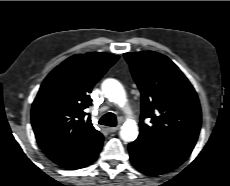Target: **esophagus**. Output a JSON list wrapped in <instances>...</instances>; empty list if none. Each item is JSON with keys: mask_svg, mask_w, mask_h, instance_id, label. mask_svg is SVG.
<instances>
[{"mask_svg": "<svg viewBox=\"0 0 230 186\" xmlns=\"http://www.w3.org/2000/svg\"><path fill=\"white\" fill-rule=\"evenodd\" d=\"M119 128H120V126H117V127H109V128H108V131H109L110 133H114V132L118 131Z\"/></svg>", "mask_w": 230, "mask_h": 186, "instance_id": "1", "label": "esophagus"}]
</instances>
